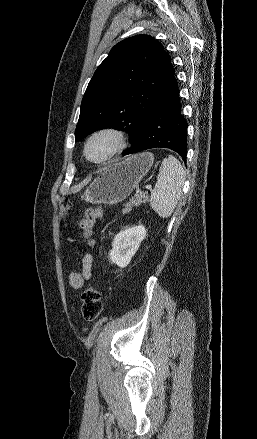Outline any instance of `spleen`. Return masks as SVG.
Masks as SVG:
<instances>
[{"label":"spleen","instance_id":"spleen-1","mask_svg":"<svg viewBox=\"0 0 257 439\" xmlns=\"http://www.w3.org/2000/svg\"><path fill=\"white\" fill-rule=\"evenodd\" d=\"M184 181L185 173L180 162L172 155L163 159L150 198L151 208L161 218H168L173 213L182 193Z\"/></svg>","mask_w":257,"mask_h":439}]
</instances>
